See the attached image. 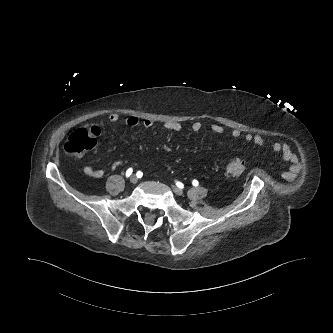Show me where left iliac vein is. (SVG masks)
<instances>
[{
    "label": "left iliac vein",
    "mask_w": 333,
    "mask_h": 333,
    "mask_svg": "<svg viewBox=\"0 0 333 333\" xmlns=\"http://www.w3.org/2000/svg\"><path fill=\"white\" fill-rule=\"evenodd\" d=\"M172 189H173L174 193L177 194V195H182L183 194L182 189H180L176 186H172Z\"/></svg>",
    "instance_id": "left-iliac-vein-1"
}]
</instances>
